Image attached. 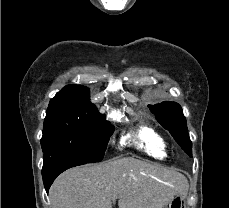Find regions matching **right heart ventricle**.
<instances>
[{
    "mask_svg": "<svg viewBox=\"0 0 229 208\" xmlns=\"http://www.w3.org/2000/svg\"><path fill=\"white\" fill-rule=\"evenodd\" d=\"M120 145L135 149L155 161H165L170 153L169 143L162 133L144 124L124 134Z\"/></svg>",
    "mask_w": 229,
    "mask_h": 208,
    "instance_id": "e07e8e85",
    "label": "right heart ventricle"
}]
</instances>
